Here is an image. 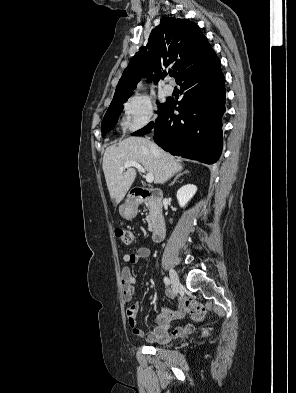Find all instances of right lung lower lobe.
<instances>
[{
    "mask_svg": "<svg viewBox=\"0 0 296 393\" xmlns=\"http://www.w3.org/2000/svg\"><path fill=\"white\" fill-rule=\"evenodd\" d=\"M182 100L168 98L155 123L133 133L142 136L154 129V141L173 155L211 164L222 151V122L225 112L224 76L221 63L209 47L177 79ZM174 110L179 112L174 115Z\"/></svg>",
    "mask_w": 296,
    "mask_h": 393,
    "instance_id": "1",
    "label": "right lung lower lobe"
}]
</instances>
